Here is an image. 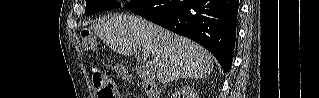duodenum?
I'll return each mask as SVG.
<instances>
[{"label":"duodenum","instance_id":"1","mask_svg":"<svg viewBox=\"0 0 319 98\" xmlns=\"http://www.w3.org/2000/svg\"><path fill=\"white\" fill-rule=\"evenodd\" d=\"M148 98H159V87L153 80H144L143 82Z\"/></svg>","mask_w":319,"mask_h":98}]
</instances>
